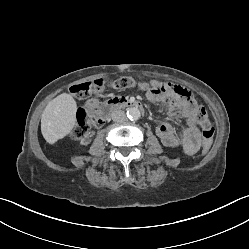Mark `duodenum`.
Here are the masks:
<instances>
[{"label":"duodenum","instance_id":"1","mask_svg":"<svg viewBox=\"0 0 249 249\" xmlns=\"http://www.w3.org/2000/svg\"><path fill=\"white\" fill-rule=\"evenodd\" d=\"M120 108H136L139 111H143V105L138 100L128 99L124 97H115L109 99L101 108V119L105 121Z\"/></svg>","mask_w":249,"mask_h":249}]
</instances>
